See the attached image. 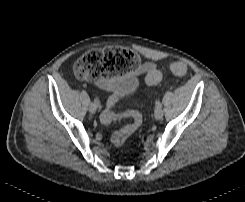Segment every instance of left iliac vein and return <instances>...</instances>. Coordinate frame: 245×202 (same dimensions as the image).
Instances as JSON below:
<instances>
[{
  "label": "left iliac vein",
  "mask_w": 245,
  "mask_h": 202,
  "mask_svg": "<svg viewBox=\"0 0 245 202\" xmlns=\"http://www.w3.org/2000/svg\"><path fill=\"white\" fill-rule=\"evenodd\" d=\"M155 119L160 120L163 117V110L161 108H156L154 112Z\"/></svg>",
  "instance_id": "left-iliac-vein-1"
}]
</instances>
